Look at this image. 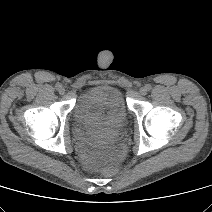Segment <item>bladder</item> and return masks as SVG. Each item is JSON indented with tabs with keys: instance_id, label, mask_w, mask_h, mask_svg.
Here are the masks:
<instances>
[{
	"instance_id": "1",
	"label": "bladder",
	"mask_w": 212,
	"mask_h": 212,
	"mask_svg": "<svg viewBox=\"0 0 212 212\" xmlns=\"http://www.w3.org/2000/svg\"><path fill=\"white\" fill-rule=\"evenodd\" d=\"M108 120L107 134L99 132L93 121L101 114ZM72 127L75 138L84 144L95 143L120 133L128 120L122 93L111 86H95L78 95L72 109Z\"/></svg>"
}]
</instances>
